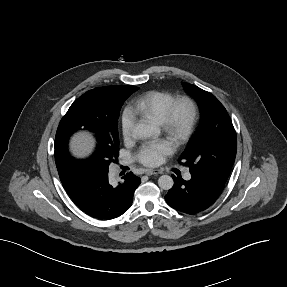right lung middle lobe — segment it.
Wrapping results in <instances>:
<instances>
[{"instance_id": "obj_1", "label": "right lung middle lobe", "mask_w": 287, "mask_h": 287, "mask_svg": "<svg viewBox=\"0 0 287 287\" xmlns=\"http://www.w3.org/2000/svg\"><path fill=\"white\" fill-rule=\"evenodd\" d=\"M135 86H106L89 90L77 99L59 123L55 137V155L67 153L69 136L77 129H89L97 140L94 153L85 161L92 170L107 173L119 151L118 118L124 101ZM68 154V153H67Z\"/></svg>"}]
</instances>
